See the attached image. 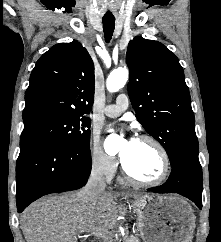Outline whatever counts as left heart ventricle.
<instances>
[{"mask_svg":"<svg viewBox=\"0 0 221 242\" xmlns=\"http://www.w3.org/2000/svg\"><path fill=\"white\" fill-rule=\"evenodd\" d=\"M121 156L129 172L142 180L156 179L162 170V161L154 145L137 140L132 147L121 146Z\"/></svg>","mask_w":221,"mask_h":242,"instance_id":"obj_1","label":"left heart ventricle"}]
</instances>
